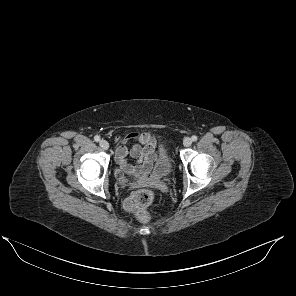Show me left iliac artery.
Here are the masks:
<instances>
[{"label":"left iliac artery","mask_w":296,"mask_h":296,"mask_svg":"<svg viewBox=\"0 0 296 296\" xmlns=\"http://www.w3.org/2000/svg\"><path fill=\"white\" fill-rule=\"evenodd\" d=\"M191 139H192V141H196V140H197V136H196V135H193V136L191 137Z\"/></svg>","instance_id":"1"}]
</instances>
